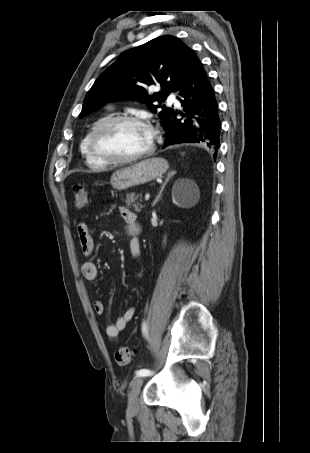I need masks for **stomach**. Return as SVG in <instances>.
Returning a JSON list of instances; mask_svg holds the SVG:
<instances>
[{
	"label": "stomach",
	"mask_w": 310,
	"mask_h": 453,
	"mask_svg": "<svg viewBox=\"0 0 310 453\" xmlns=\"http://www.w3.org/2000/svg\"><path fill=\"white\" fill-rule=\"evenodd\" d=\"M167 169L168 162L164 158L145 159L115 171L111 176L110 184L116 190H126L162 176Z\"/></svg>",
	"instance_id": "stomach-1"
}]
</instances>
